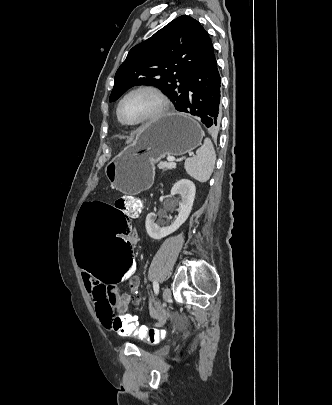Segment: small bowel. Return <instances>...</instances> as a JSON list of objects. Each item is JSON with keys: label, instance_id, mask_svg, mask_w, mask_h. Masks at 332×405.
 <instances>
[{"label": "small bowel", "instance_id": "small-bowel-1", "mask_svg": "<svg viewBox=\"0 0 332 405\" xmlns=\"http://www.w3.org/2000/svg\"><path fill=\"white\" fill-rule=\"evenodd\" d=\"M133 236L135 244H137L139 241V234L135 228H133ZM81 269L82 279L87 291L89 292L100 322L105 328L114 330L119 334V330H115L112 326L114 310H118L120 313L122 311H128L129 304L135 293H137L140 285V279L137 273L134 281L125 282L128 290L123 291L119 287H105V285H102L99 281L95 280V275H83V268ZM133 304L139 305L140 299L134 298Z\"/></svg>", "mask_w": 332, "mask_h": 405}]
</instances>
